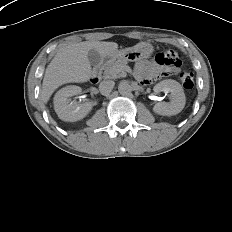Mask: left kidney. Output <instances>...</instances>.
Here are the masks:
<instances>
[{
	"instance_id": "1",
	"label": "left kidney",
	"mask_w": 232,
	"mask_h": 232,
	"mask_svg": "<svg viewBox=\"0 0 232 232\" xmlns=\"http://www.w3.org/2000/svg\"><path fill=\"white\" fill-rule=\"evenodd\" d=\"M156 94L171 93L170 102H158L153 111L162 116H172L180 113L185 107L186 97L182 86L175 80L167 79L157 83L154 88Z\"/></svg>"
}]
</instances>
